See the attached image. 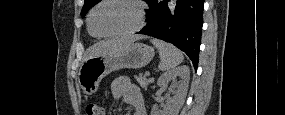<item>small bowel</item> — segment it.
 Segmentation results:
<instances>
[{
    "mask_svg": "<svg viewBox=\"0 0 285 115\" xmlns=\"http://www.w3.org/2000/svg\"><path fill=\"white\" fill-rule=\"evenodd\" d=\"M111 92L115 99H122L134 109V115H146V106L140 89L127 77H118L112 81Z\"/></svg>",
    "mask_w": 285,
    "mask_h": 115,
    "instance_id": "obj_1",
    "label": "small bowel"
}]
</instances>
